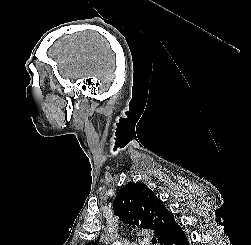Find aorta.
<instances>
[{"label": "aorta", "mask_w": 251, "mask_h": 245, "mask_svg": "<svg viewBox=\"0 0 251 245\" xmlns=\"http://www.w3.org/2000/svg\"><path fill=\"white\" fill-rule=\"evenodd\" d=\"M120 243L119 242H115L113 245H119Z\"/></svg>", "instance_id": "aorta-1"}]
</instances>
